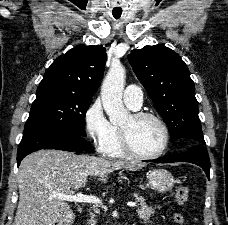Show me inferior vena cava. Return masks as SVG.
Wrapping results in <instances>:
<instances>
[{"mask_svg":"<svg viewBox=\"0 0 228 225\" xmlns=\"http://www.w3.org/2000/svg\"><path fill=\"white\" fill-rule=\"evenodd\" d=\"M91 215H92V219H91L90 223H91V225H96V221L94 219V217H96V215H93V213H91Z\"/></svg>","mask_w":228,"mask_h":225,"instance_id":"inferior-vena-cava-1","label":"inferior vena cava"}]
</instances>
